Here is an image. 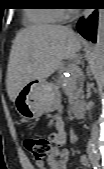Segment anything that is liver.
<instances>
[{
	"mask_svg": "<svg viewBox=\"0 0 104 169\" xmlns=\"http://www.w3.org/2000/svg\"><path fill=\"white\" fill-rule=\"evenodd\" d=\"M81 49V38L61 25H33L15 37L10 52L6 86L14 102L30 81L51 76L63 59L74 57Z\"/></svg>",
	"mask_w": 104,
	"mask_h": 169,
	"instance_id": "obj_1",
	"label": "liver"
}]
</instances>
